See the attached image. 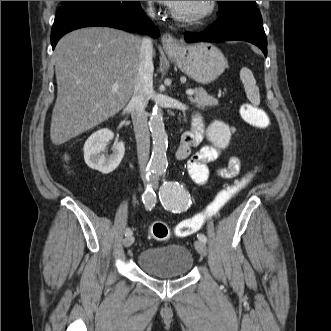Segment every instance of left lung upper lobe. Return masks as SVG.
I'll return each instance as SVG.
<instances>
[{"label":"left lung upper lobe","mask_w":331,"mask_h":331,"mask_svg":"<svg viewBox=\"0 0 331 331\" xmlns=\"http://www.w3.org/2000/svg\"><path fill=\"white\" fill-rule=\"evenodd\" d=\"M218 4L220 17L233 12L257 9L254 1H218Z\"/></svg>","instance_id":"1"}]
</instances>
